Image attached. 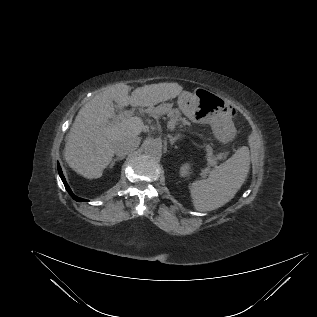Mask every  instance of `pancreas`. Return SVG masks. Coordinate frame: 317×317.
<instances>
[{
    "label": "pancreas",
    "instance_id": "pancreas-1",
    "mask_svg": "<svg viewBox=\"0 0 317 317\" xmlns=\"http://www.w3.org/2000/svg\"><path fill=\"white\" fill-rule=\"evenodd\" d=\"M146 112L154 118H158L161 115L167 114L172 121L182 122L184 126H190V122L181 117L180 111L176 108H172V105L169 103H162L155 108L150 107L146 110ZM206 152L209 166H215L217 161L222 159L221 155H214L213 149L210 146H206Z\"/></svg>",
    "mask_w": 317,
    "mask_h": 317
}]
</instances>
